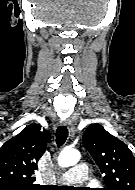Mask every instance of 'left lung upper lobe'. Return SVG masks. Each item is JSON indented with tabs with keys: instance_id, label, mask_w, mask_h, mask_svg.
Wrapping results in <instances>:
<instances>
[{
	"instance_id": "obj_1",
	"label": "left lung upper lobe",
	"mask_w": 135,
	"mask_h": 190,
	"mask_svg": "<svg viewBox=\"0 0 135 190\" xmlns=\"http://www.w3.org/2000/svg\"><path fill=\"white\" fill-rule=\"evenodd\" d=\"M83 146L105 174L104 190H135V158L123 141L92 124L84 133Z\"/></svg>"
}]
</instances>
